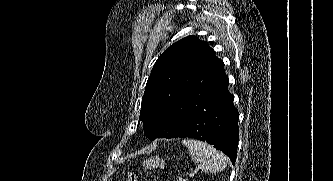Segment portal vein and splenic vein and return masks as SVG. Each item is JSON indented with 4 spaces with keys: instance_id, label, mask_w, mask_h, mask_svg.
I'll return each instance as SVG.
<instances>
[{
    "instance_id": "1",
    "label": "portal vein and splenic vein",
    "mask_w": 333,
    "mask_h": 181,
    "mask_svg": "<svg viewBox=\"0 0 333 181\" xmlns=\"http://www.w3.org/2000/svg\"><path fill=\"white\" fill-rule=\"evenodd\" d=\"M197 170H198V169H196L195 171L191 172V173L189 174V177H193V176L195 175V173L197 172Z\"/></svg>"
}]
</instances>
